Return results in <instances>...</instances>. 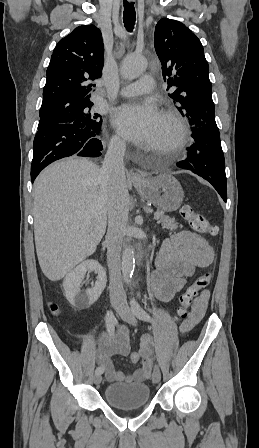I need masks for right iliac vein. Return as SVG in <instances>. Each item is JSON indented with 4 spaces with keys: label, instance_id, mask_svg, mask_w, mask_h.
<instances>
[{
    "label": "right iliac vein",
    "instance_id": "63e3f726",
    "mask_svg": "<svg viewBox=\"0 0 259 448\" xmlns=\"http://www.w3.org/2000/svg\"><path fill=\"white\" fill-rule=\"evenodd\" d=\"M111 303H112V306H113L114 309H116L118 304H119V302L117 300H112ZM101 380H102L101 374H95V376H94V383L95 384H99L101 382Z\"/></svg>",
    "mask_w": 259,
    "mask_h": 448
}]
</instances>
